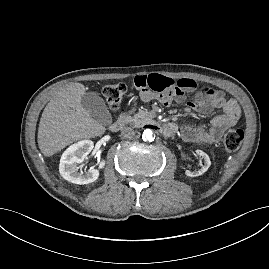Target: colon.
I'll return each instance as SVG.
<instances>
[{
  "mask_svg": "<svg viewBox=\"0 0 269 269\" xmlns=\"http://www.w3.org/2000/svg\"><path fill=\"white\" fill-rule=\"evenodd\" d=\"M102 93L111 108L116 111L125 96L126 86L122 83H109L104 85ZM244 138V132L241 129H229L223 137V144L228 152H235L239 149Z\"/></svg>",
  "mask_w": 269,
  "mask_h": 269,
  "instance_id": "colon-1",
  "label": "colon"
}]
</instances>
